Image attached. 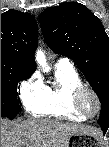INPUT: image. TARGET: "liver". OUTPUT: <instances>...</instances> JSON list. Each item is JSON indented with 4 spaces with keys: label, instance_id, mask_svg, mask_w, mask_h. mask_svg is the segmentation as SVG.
Wrapping results in <instances>:
<instances>
[{
    "label": "liver",
    "instance_id": "obj_1",
    "mask_svg": "<svg viewBox=\"0 0 109 147\" xmlns=\"http://www.w3.org/2000/svg\"><path fill=\"white\" fill-rule=\"evenodd\" d=\"M102 137L100 129L82 124L30 118L13 124L1 121V147H67L73 134Z\"/></svg>",
    "mask_w": 109,
    "mask_h": 147
}]
</instances>
